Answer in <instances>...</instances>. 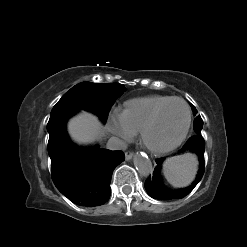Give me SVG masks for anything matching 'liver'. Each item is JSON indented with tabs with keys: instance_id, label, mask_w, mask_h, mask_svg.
Returning a JSON list of instances; mask_svg holds the SVG:
<instances>
[{
	"instance_id": "liver-1",
	"label": "liver",
	"mask_w": 247,
	"mask_h": 247,
	"mask_svg": "<svg viewBox=\"0 0 247 247\" xmlns=\"http://www.w3.org/2000/svg\"><path fill=\"white\" fill-rule=\"evenodd\" d=\"M70 137L79 144H90L104 135L98 118L88 112H81L68 122Z\"/></svg>"
}]
</instances>
